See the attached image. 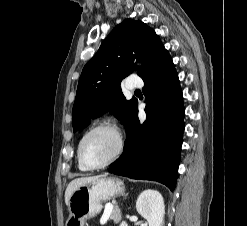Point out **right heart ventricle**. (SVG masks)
Here are the masks:
<instances>
[{"label": "right heart ventricle", "instance_id": "obj_1", "mask_svg": "<svg viewBox=\"0 0 247 226\" xmlns=\"http://www.w3.org/2000/svg\"><path fill=\"white\" fill-rule=\"evenodd\" d=\"M78 166H79V168H80L81 170H86V169L81 165V163L79 162V160H78Z\"/></svg>", "mask_w": 247, "mask_h": 226}]
</instances>
